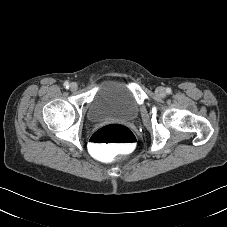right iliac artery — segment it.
<instances>
[{
	"instance_id": "right-iliac-artery-1",
	"label": "right iliac artery",
	"mask_w": 227,
	"mask_h": 227,
	"mask_svg": "<svg viewBox=\"0 0 227 227\" xmlns=\"http://www.w3.org/2000/svg\"><path fill=\"white\" fill-rule=\"evenodd\" d=\"M64 87H65V88H69V87H70L69 83H68V82H65V83H64Z\"/></svg>"
}]
</instances>
